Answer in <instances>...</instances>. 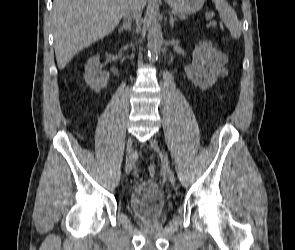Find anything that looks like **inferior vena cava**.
I'll use <instances>...</instances> for the list:
<instances>
[{
	"instance_id": "1",
	"label": "inferior vena cava",
	"mask_w": 295,
	"mask_h": 250,
	"mask_svg": "<svg viewBox=\"0 0 295 250\" xmlns=\"http://www.w3.org/2000/svg\"><path fill=\"white\" fill-rule=\"evenodd\" d=\"M141 10L140 0H128V3L123 12L125 21L130 24L131 20L134 19L138 23L142 13Z\"/></svg>"
}]
</instances>
